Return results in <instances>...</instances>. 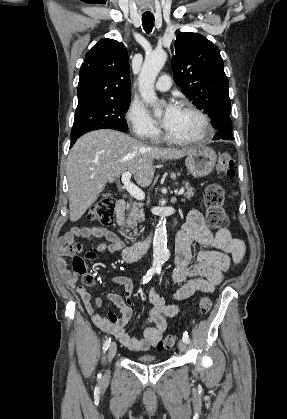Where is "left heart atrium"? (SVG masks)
Here are the masks:
<instances>
[{
    "instance_id": "obj_1",
    "label": "left heart atrium",
    "mask_w": 287,
    "mask_h": 419,
    "mask_svg": "<svg viewBox=\"0 0 287 419\" xmlns=\"http://www.w3.org/2000/svg\"><path fill=\"white\" fill-rule=\"evenodd\" d=\"M178 110L179 107L175 102H170L166 105L161 118V123L165 128L171 123Z\"/></svg>"
}]
</instances>
